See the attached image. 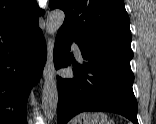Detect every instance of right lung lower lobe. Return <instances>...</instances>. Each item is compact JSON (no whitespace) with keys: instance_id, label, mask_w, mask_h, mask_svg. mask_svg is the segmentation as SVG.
Listing matches in <instances>:
<instances>
[{"instance_id":"right-lung-lower-lobe-1","label":"right lung lower lobe","mask_w":156,"mask_h":124,"mask_svg":"<svg viewBox=\"0 0 156 124\" xmlns=\"http://www.w3.org/2000/svg\"><path fill=\"white\" fill-rule=\"evenodd\" d=\"M46 57L40 29L0 42V124H27L28 95L41 77Z\"/></svg>"}]
</instances>
